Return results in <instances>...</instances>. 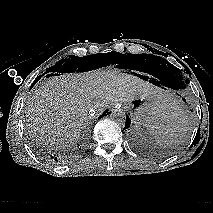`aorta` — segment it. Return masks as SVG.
Masks as SVG:
<instances>
[{"instance_id": "aorta-1", "label": "aorta", "mask_w": 213, "mask_h": 213, "mask_svg": "<svg viewBox=\"0 0 213 213\" xmlns=\"http://www.w3.org/2000/svg\"><path fill=\"white\" fill-rule=\"evenodd\" d=\"M111 119L117 124L123 125L126 121V113L122 109H115L111 113Z\"/></svg>"}]
</instances>
